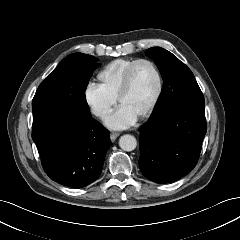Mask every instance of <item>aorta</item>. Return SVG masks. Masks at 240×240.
I'll return each instance as SVG.
<instances>
[{
    "label": "aorta",
    "mask_w": 240,
    "mask_h": 240,
    "mask_svg": "<svg viewBox=\"0 0 240 240\" xmlns=\"http://www.w3.org/2000/svg\"><path fill=\"white\" fill-rule=\"evenodd\" d=\"M119 146L124 151H133L137 146L136 138L129 134L123 135L119 139Z\"/></svg>",
    "instance_id": "762f6f07"
}]
</instances>
